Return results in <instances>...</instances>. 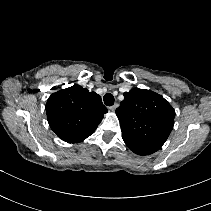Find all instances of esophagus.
<instances>
[{"instance_id":"obj_1","label":"esophagus","mask_w":211,"mask_h":211,"mask_svg":"<svg viewBox=\"0 0 211 211\" xmlns=\"http://www.w3.org/2000/svg\"><path fill=\"white\" fill-rule=\"evenodd\" d=\"M117 107H118V104L116 103V104L112 105L109 109L111 111H115Z\"/></svg>"}]
</instances>
